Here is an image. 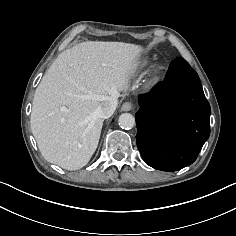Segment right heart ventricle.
<instances>
[{
    "mask_svg": "<svg viewBox=\"0 0 236 236\" xmlns=\"http://www.w3.org/2000/svg\"><path fill=\"white\" fill-rule=\"evenodd\" d=\"M150 65V60L146 59L140 63L138 66V71H143L145 70L148 66Z\"/></svg>",
    "mask_w": 236,
    "mask_h": 236,
    "instance_id": "obj_1",
    "label": "right heart ventricle"
}]
</instances>
